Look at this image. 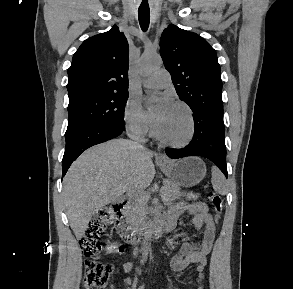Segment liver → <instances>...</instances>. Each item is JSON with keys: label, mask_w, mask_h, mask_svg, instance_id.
<instances>
[{"label": "liver", "mask_w": 293, "mask_h": 289, "mask_svg": "<svg viewBox=\"0 0 293 289\" xmlns=\"http://www.w3.org/2000/svg\"><path fill=\"white\" fill-rule=\"evenodd\" d=\"M153 152L130 140L114 139L86 150L63 179L62 197L79 240L94 213L126 192L141 193L154 176Z\"/></svg>", "instance_id": "obj_1"}]
</instances>
